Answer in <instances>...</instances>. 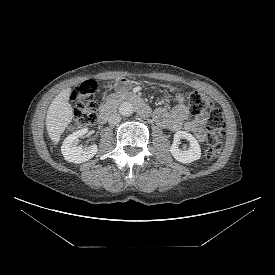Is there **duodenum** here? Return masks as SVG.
Returning a JSON list of instances; mask_svg holds the SVG:
<instances>
[{"label": "duodenum", "instance_id": "410a0bca", "mask_svg": "<svg viewBox=\"0 0 275 275\" xmlns=\"http://www.w3.org/2000/svg\"><path fill=\"white\" fill-rule=\"evenodd\" d=\"M120 101H126L134 104L140 115L143 117H148L151 114L150 107L138 94L125 93L121 96ZM115 107L116 102L107 103L98 114V123L105 124L110 115L113 113Z\"/></svg>", "mask_w": 275, "mask_h": 275}]
</instances>
